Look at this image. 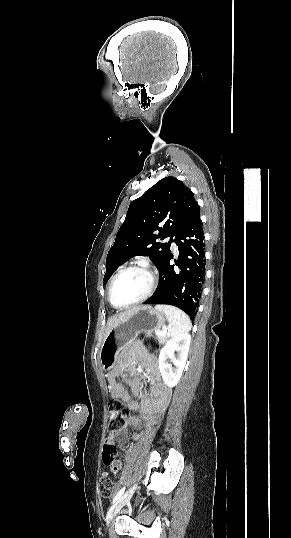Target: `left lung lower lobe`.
Here are the masks:
<instances>
[{
  "label": "left lung lower lobe",
  "mask_w": 291,
  "mask_h": 538,
  "mask_svg": "<svg viewBox=\"0 0 291 538\" xmlns=\"http://www.w3.org/2000/svg\"><path fill=\"white\" fill-rule=\"evenodd\" d=\"M174 236V242L179 250L178 261H175L176 267L170 264L173 254L169 250L158 269L159 286L144 304L176 306L185 311L193 321L197 314L205 277V244L199 209Z\"/></svg>",
  "instance_id": "left-lung-lower-lobe-1"
}]
</instances>
